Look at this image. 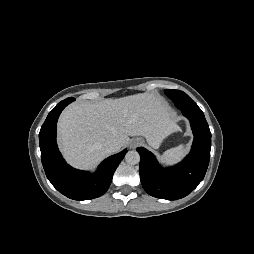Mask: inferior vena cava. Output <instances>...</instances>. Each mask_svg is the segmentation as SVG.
Here are the masks:
<instances>
[{
	"mask_svg": "<svg viewBox=\"0 0 254 254\" xmlns=\"http://www.w3.org/2000/svg\"><path fill=\"white\" fill-rule=\"evenodd\" d=\"M120 149V145L117 142H110L105 147V152L107 154H112Z\"/></svg>",
	"mask_w": 254,
	"mask_h": 254,
	"instance_id": "inferior-vena-cava-1",
	"label": "inferior vena cava"
}]
</instances>
